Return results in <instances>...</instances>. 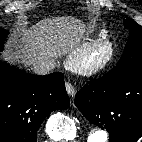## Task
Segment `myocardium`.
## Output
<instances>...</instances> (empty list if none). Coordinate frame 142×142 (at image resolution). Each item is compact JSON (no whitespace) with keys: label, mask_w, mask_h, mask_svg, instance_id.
Here are the masks:
<instances>
[{"label":"myocardium","mask_w":142,"mask_h":142,"mask_svg":"<svg viewBox=\"0 0 142 142\" xmlns=\"http://www.w3.org/2000/svg\"><path fill=\"white\" fill-rule=\"evenodd\" d=\"M100 49L104 54L99 58H93V55ZM115 54V45L107 37H101L85 44L69 58V67L82 75H94L105 69L112 61Z\"/></svg>","instance_id":"1"}]
</instances>
